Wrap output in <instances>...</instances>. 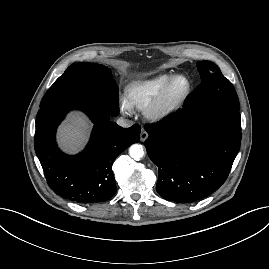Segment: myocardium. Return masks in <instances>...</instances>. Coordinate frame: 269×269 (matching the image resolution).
I'll return each instance as SVG.
<instances>
[{
  "label": "myocardium",
  "mask_w": 269,
  "mask_h": 269,
  "mask_svg": "<svg viewBox=\"0 0 269 269\" xmlns=\"http://www.w3.org/2000/svg\"><path fill=\"white\" fill-rule=\"evenodd\" d=\"M179 79H183L185 81L186 87L178 97L171 98L170 90L174 83ZM190 93L191 82L186 75L175 74L171 76L159 90L152 102L145 108L146 117L154 121H159L169 117L182 107Z\"/></svg>",
  "instance_id": "1"
}]
</instances>
